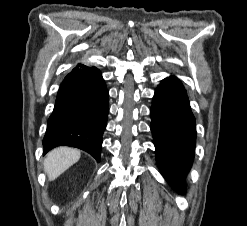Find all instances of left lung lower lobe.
Listing matches in <instances>:
<instances>
[{
	"mask_svg": "<svg viewBox=\"0 0 247 226\" xmlns=\"http://www.w3.org/2000/svg\"><path fill=\"white\" fill-rule=\"evenodd\" d=\"M150 113L157 164L165 179L182 192L194 158L196 129L186 90L176 77L161 81Z\"/></svg>",
	"mask_w": 247,
	"mask_h": 226,
	"instance_id": "obj_1",
	"label": "left lung lower lobe"
}]
</instances>
